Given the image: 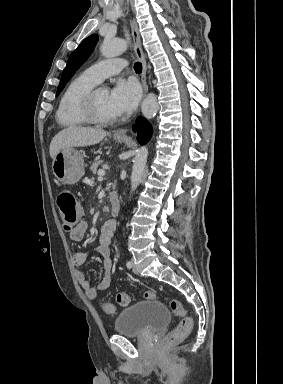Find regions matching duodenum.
<instances>
[{
	"label": "duodenum",
	"instance_id": "obj_1",
	"mask_svg": "<svg viewBox=\"0 0 283 384\" xmlns=\"http://www.w3.org/2000/svg\"><path fill=\"white\" fill-rule=\"evenodd\" d=\"M109 198L111 200V214L116 216L119 213L121 206L119 196L115 190H110Z\"/></svg>",
	"mask_w": 283,
	"mask_h": 384
}]
</instances>
